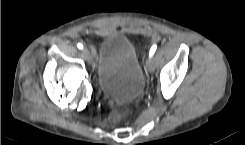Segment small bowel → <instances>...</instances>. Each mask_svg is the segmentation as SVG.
Here are the masks:
<instances>
[{"instance_id":"small-bowel-1","label":"small bowel","mask_w":245,"mask_h":145,"mask_svg":"<svg viewBox=\"0 0 245 145\" xmlns=\"http://www.w3.org/2000/svg\"><path fill=\"white\" fill-rule=\"evenodd\" d=\"M137 32L143 33V34H149L150 33V29L142 28V29L138 30ZM102 33H106V32H102Z\"/></svg>"}]
</instances>
